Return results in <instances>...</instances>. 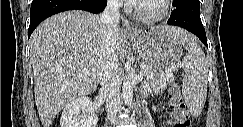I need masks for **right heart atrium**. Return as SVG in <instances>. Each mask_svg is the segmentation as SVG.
<instances>
[{"label":"right heart atrium","instance_id":"d8ad5b80","mask_svg":"<svg viewBox=\"0 0 243 127\" xmlns=\"http://www.w3.org/2000/svg\"><path fill=\"white\" fill-rule=\"evenodd\" d=\"M109 5L111 7H116L118 5V2L116 0H112V1L109 2Z\"/></svg>","mask_w":243,"mask_h":127}]
</instances>
